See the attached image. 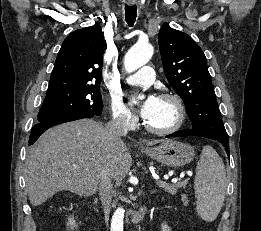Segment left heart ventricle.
<instances>
[{
	"instance_id": "b2bd125f",
	"label": "left heart ventricle",
	"mask_w": 261,
	"mask_h": 231,
	"mask_svg": "<svg viewBox=\"0 0 261 231\" xmlns=\"http://www.w3.org/2000/svg\"><path fill=\"white\" fill-rule=\"evenodd\" d=\"M177 120L176 106L171 100L157 99V102L146 121L155 128L165 129Z\"/></svg>"
}]
</instances>
